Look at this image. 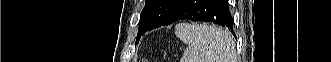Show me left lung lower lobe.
I'll use <instances>...</instances> for the list:
<instances>
[{"label": "left lung lower lobe", "instance_id": "obj_1", "mask_svg": "<svg viewBox=\"0 0 331 62\" xmlns=\"http://www.w3.org/2000/svg\"><path fill=\"white\" fill-rule=\"evenodd\" d=\"M183 19L213 22L226 27L234 34L233 18L229 11L228 0H184L162 26ZM146 31L149 30L143 27L138 30L137 42Z\"/></svg>", "mask_w": 331, "mask_h": 62}]
</instances>
